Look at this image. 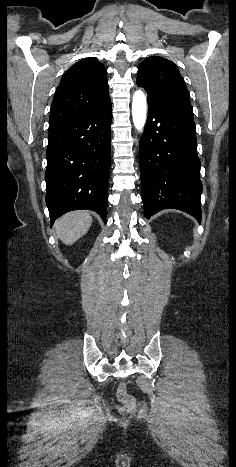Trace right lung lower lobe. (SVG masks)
Returning <instances> with one entry per match:
<instances>
[{"mask_svg": "<svg viewBox=\"0 0 236 467\" xmlns=\"http://www.w3.org/2000/svg\"><path fill=\"white\" fill-rule=\"evenodd\" d=\"M111 101L49 128L45 173L50 222L77 209L93 210L106 223L111 159Z\"/></svg>", "mask_w": 236, "mask_h": 467, "instance_id": "98d812e1", "label": "right lung lower lobe"}]
</instances>
